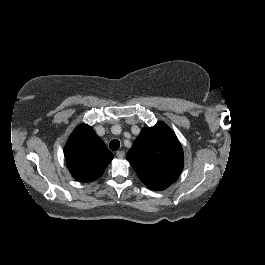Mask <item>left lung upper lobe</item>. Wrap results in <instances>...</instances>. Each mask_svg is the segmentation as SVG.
<instances>
[{"label": "left lung upper lobe", "instance_id": "obj_1", "mask_svg": "<svg viewBox=\"0 0 265 265\" xmlns=\"http://www.w3.org/2000/svg\"><path fill=\"white\" fill-rule=\"evenodd\" d=\"M126 159L140 180L152 190H164L174 183L184 165L183 150L174 132L163 122L144 128Z\"/></svg>", "mask_w": 265, "mask_h": 265}]
</instances>
